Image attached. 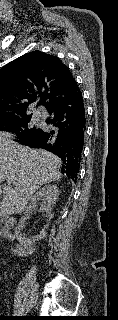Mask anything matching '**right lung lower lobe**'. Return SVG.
<instances>
[{
    "instance_id": "1",
    "label": "right lung lower lobe",
    "mask_w": 118,
    "mask_h": 320,
    "mask_svg": "<svg viewBox=\"0 0 118 320\" xmlns=\"http://www.w3.org/2000/svg\"><path fill=\"white\" fill-rule=\"evenodd\" d=\"M46 120L51 127L42 128L36 134L19 138L17 142L43 148L62 160L61 173L74 181L80 167L86 130V116L82 93L54 104L48 109Z\"/></svg>"
}]
</instances>
